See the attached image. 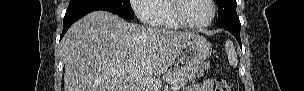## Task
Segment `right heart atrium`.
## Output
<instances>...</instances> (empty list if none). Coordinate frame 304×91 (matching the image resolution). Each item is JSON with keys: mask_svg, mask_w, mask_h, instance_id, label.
Returning <instances> with one entry per match:
<instances>
[{"mask_svg": "<svg viewBox=\"0 0 304 91\" xmlns=\"http://www.w3.org/2000/svg\"><path fill=\"white\" fill-rule=\"evenodd\" d=\"M157 0H132L131 6L141 22L153 23L156 20L153 5Z\"/></svg>", "mask_w": 304, "mask_h": 91, "instance_id": "d8ad5b80", "label": "right heart atrium"}]
</instances>
